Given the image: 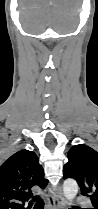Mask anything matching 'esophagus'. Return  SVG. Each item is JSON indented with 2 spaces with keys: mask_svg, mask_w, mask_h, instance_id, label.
Instances as JSON below:
<instances>
[{
  "mask_svg": "<svg viewBox=\"0 0 98 209\" xmlns=\"http://www.w3.org/2000/svg\"><path fill=\"white\" fill-rule=\"evenodd\" d=\"M48 206L50 209H65L64 197L59 188L51 193Z\"/></svg>",
  "mask_w": 98,
  "mask_h": 209,
  "instance_id": "1",
  "label": "esophagus"
}]
</instances>
